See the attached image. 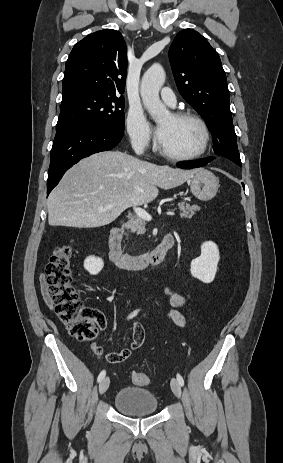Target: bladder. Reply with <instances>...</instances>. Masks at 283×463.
Wrapping results in <instances>:
<instances>
[{
	"label": "bladder",
	"mask_w": 283,
	"mask_h": 463,
	"mask_svg": "<svg viewBox=\"0 0 283 463\" xmlns=\"http://www.w3.org/2000/svg\"><path fill=\"white\" fill-rule=\"evenodd\" d=\"M114 406L124 415L141 417L155 414L159 401L155 394L142 387L124 386L117 391Z\"/></svg>",
	"instance_id": "obj_1"
}]
</instances>
